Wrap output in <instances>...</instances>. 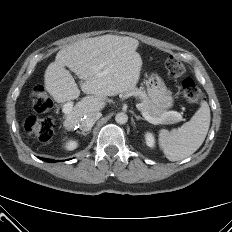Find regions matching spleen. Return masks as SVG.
I'll use <instances>...</instances> for the list:
<instances>
[{
	"label": "spleen",
	"mask_w": 232,
	"mask_h": 232,
	"mask_svg": "<svg viewBox=\"0 0 232 232\" xmlns=\"http://www.w3.org/2000/svg\"><path fill=\"white\" fill-rule=\"evenodd\" d=\"M210 126V108L206 101L190 121L178 129L159 132V146L170 161H178L192 155L204 142Z\"/></svg>",
	"instance_id": "spleen-1"
}]
</instances>
